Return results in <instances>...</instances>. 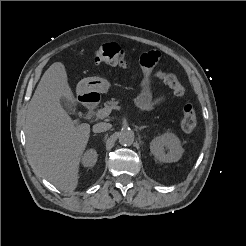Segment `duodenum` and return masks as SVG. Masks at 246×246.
I'll return each mask as SVG.
<instances>
[{
	"label": "duodenum",
	"mask_w": 246,
	"mask_h": 246,
	"mask_svg": "<svg viewBox=\"0 0 246 246\" xmlns=\"http://www.w3.org/2000/svg\"><path fill=\"white\" fill-rule=\"evenodd\" d=\"M84 101L86 109L92 111L95 106V102L97 101V97L95 94H88L84 96Z\"/></svg>",
	"instance_id": "410a0bca"
}]
</instances>
